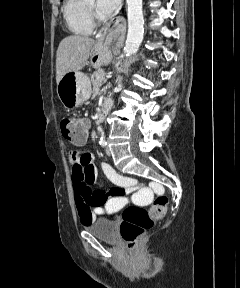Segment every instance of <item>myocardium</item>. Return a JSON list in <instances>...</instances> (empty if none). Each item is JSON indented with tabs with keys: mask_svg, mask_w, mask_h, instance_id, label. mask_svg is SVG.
Segmentation results:
<instances>
[{
	"mask_svg": "<svg viewBox=\"0 0 240 288\" xmlns=\"http://www.w3.org/2000/svg\"><path fill=\"white\" fill-rule=\"evenodd\" d=\"M87 5H88V8H89L90 13H91V18H92L93 24L98 23L100 18L96 15L93 5L89 4L88 2H87Z\"/></svg>",
	"mask_w": 240,
	"mask_h": 288,
	"instance_id": "1",
	"label": "myocardium"
}]
</instances>
